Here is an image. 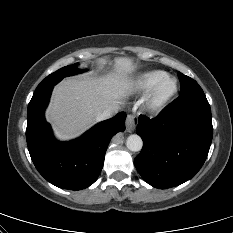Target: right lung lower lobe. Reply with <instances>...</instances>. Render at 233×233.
Here are the masks:
<instances>
[{
	"mask_svg": "<svg viewBox=\"0 0 233 233\" xmlns=\"http://www.w3.org/2000/svg\"><path fill=\"white\" fill-rule=\"evenodd\" d=\"M52 89L34 93L28 105V150L36 169L47 181L59 188L81 190L97 180L111 138L125 130L126 113L98 123L74 141L61 143L53 138L44 117Z\"/></svg>",
	"mask_w": 233,
	"mask_h": 233,
	"instance_id": "right-lung-lower-lobe-1",
	"label": "right lung lower lobe"
}]
</instances>
